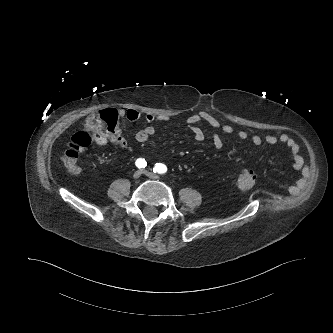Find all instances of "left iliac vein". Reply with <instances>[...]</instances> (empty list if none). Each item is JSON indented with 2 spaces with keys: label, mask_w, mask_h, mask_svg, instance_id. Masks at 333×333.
<instances>
[{
  "label": "left iliac vein",
  "mask_w": 333,
  "mask_h": 333,
  "mask_svg": "<svg viewBox=\"0 0 333 333\" xmlns=\"http://www.w3.org/2000/svg\"><path fill=\"white\" fill-rule=\"evenodd\" d=\"M146 176H148L149 178L153 179V180H160V177L156 174H154L153 172H150L148 170H143L142 171Z\"/></svg>",
  "instance_id": "1"
}]
</instances>
